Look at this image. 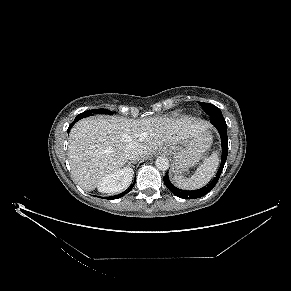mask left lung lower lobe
Masks as SVG:
<instances>
[{
	"mask_svg": "<svg viewBox=\"0 0 291 291\" xmlns=\"http://www.w3.org/2000/svg\"><path fill=\"white\" fill-rule=\"evenodd\" d=\"M211 123L217 128V130L220 133L221 137V143H222V156H221V163L219 166V169L217 171L216 176L213 178V180L204 188L195 190V191H185L181 190L177 187H175L169 180L168 173L164 176V184L166 187L176 196L184 199H196V198H201L202 196L206 195L209 193L217 184L221 172L224 168V164L227 159V154H228V138H227V124L224 120V118H210ZM183 192H190L192 197L187 198L184 196Z\"/></svg>",
	"mask_w": 291,
	"mask_h": 291,
	"instance_id": "1",
	"label": "left lung lower lobe"
}]
</instances>
